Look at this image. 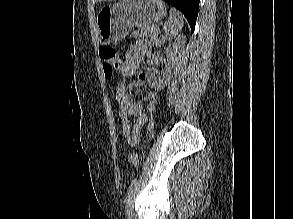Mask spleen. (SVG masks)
<instances>
[{"label": "spleen", "mask_w": 293, "mask_h": 219, "mask_svg": "<svg viewBox=\"0 0 293 219\" xmlns=\"http://www.w3.org/2000/svg\"><path fill=\"white\" fill-rule=\"evenodd\" d=\"M183 24L182 14L174 8H170V17L163 27L165 33L176 35L183 28Z\"/></svg>", "instance_id": "spleen-1"}]
</instances>
